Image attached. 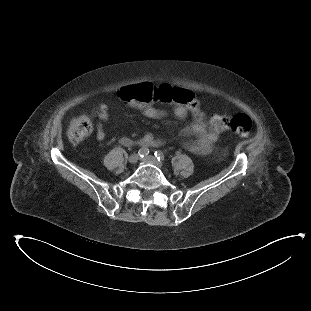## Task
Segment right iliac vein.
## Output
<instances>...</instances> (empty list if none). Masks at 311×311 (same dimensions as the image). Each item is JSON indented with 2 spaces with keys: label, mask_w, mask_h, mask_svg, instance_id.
Wrapping results in <instances>:
<instances>
[{
  "label": "right iliac vein",
  "mask_w": 311,
  "mask_h": 311,
  "mask_svg": "<svg viewBox=\"0 0 311 311\" xmlns=\"http://www.w3.org/2000/svg\"><path fill=\"white\" fill-rule=\"evenodd\" d=\"M138 160H139V155L138 154H132L129 157V163H131V164L137 163Z\"/></svg>",
  "instance_id": "1"
}]
</instances>
